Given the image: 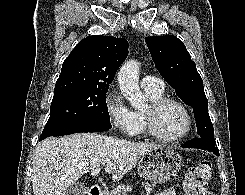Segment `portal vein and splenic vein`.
<instances>
[{
  "instance_id": "1",
  "label": "portal vein and splenic vein",
  "mask_w": 245,
  "mask_h": 195,
  "mask_svg": "<svg viewBox=\"0 0 245 195\" xmlns=\"http://www.w3.org/2000/svg\"><path fill=\"white\" fill-rule=\"evenodd\" d=\"M100 170H101L100 167L93 169L91 171V175L96 176L97 174H99Z\"/></svg>"
}]
</instances>
